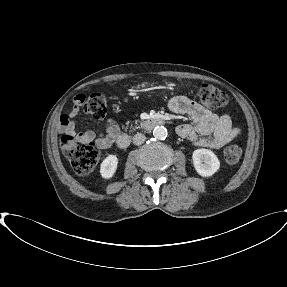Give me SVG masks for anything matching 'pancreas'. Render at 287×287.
Instances as JSON below:
<instances>
[{
  "label": "pancreas",
  "mask_w": 287,
  "mask_h": 287,
  "mask_svg": "<svg viewBox=\"0 0 287 287\" xmlns=\"http://www.w3.org/2000/svg\"><path fill=\"white\" fill-rule=\"evenodd\" d=\"M126 124L128 125V122ZM135 124H137V121L135 122ZM136 128H138V126H135V128H133V129H136Z\"/></svg>",
  "instance_id": "1"
}]
</instances>
